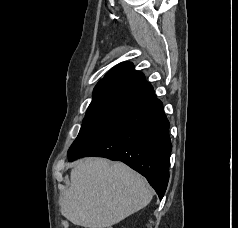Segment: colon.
Segmentation results:
<instances>
[{
	"instance_id": "colon-1",
	"label": "colon",
	"mask_w": 238,
	"mask_h": 228,
	"mask_svg": "<svg viewBox=\"0 0 238 228\" xmlns=\"http://www.w3.org/2000/svg\"><path fill=\"white\" fill-rule=\"evenodd\" d=\"M63 228H68V224L66 222L63 223Z\"/></svg>"
}]
</instances>
